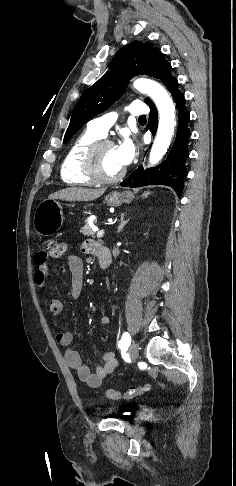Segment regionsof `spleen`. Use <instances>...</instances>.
Instances as JSON below:
<instances>
[{"instance_id": "spleen-1", "label": "spleen", "mask_w": 236, "mask_h": 486, "mask_svg": "<svg viewBox=\"0 0 236 486\" xmlns=\"http://www.w3.org/2000/svg\"><path fill=\"white\" fill-rule=\"evenodd\" d=\"M149 194H150V192H146V193L143 194V197L146 198Z\"/></svg>"}]
</instances>
